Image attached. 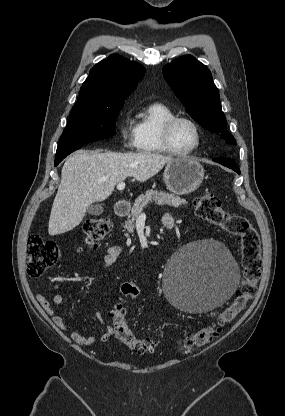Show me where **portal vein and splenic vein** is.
I'll return each mask as SVG.
<instances>
[{"label": "portal vein and splenic vein", "mask_w": 285, "mask_h": 416, "mask_svg": "<svg viewBox=\"0 0 285 416\" xmlns=\"http://www.w3.org/2000/svg\"><path fill=\"white\" fill-rule=\"evenodd\" d=\"M124 188H125L124 182H120V184H118L117 186V190H124ZM141 216H145V214H141Z\"/></svg>", "instance_id": "obj_1"}]
</instances>
